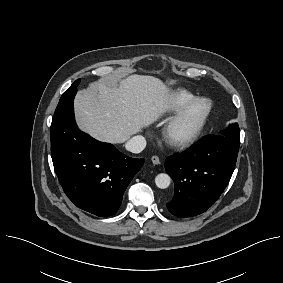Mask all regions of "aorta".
Instances as JSON below:
<instances>
[{"label":"aorta","mask_w":283,"mask_h":283,"mask_svg":"<svg viewBox=\"0 0 283 283\" xmlns=\"http://www.w3.org/2000/svg\"><path fill=\"white\" fill-rule=\"evenodd\" d=\"M171 183V178L168 174L160 173L155 178V184L160 189L168 188Z\"/></svg>","instance_id":"aorta-1"}]
</instances>
